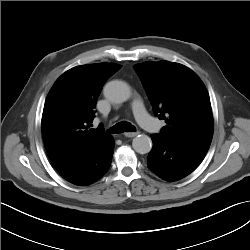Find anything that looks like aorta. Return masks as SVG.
Masks as SVG:
<instances>
[{
  "instance_id": "obj_1",
  "label": "aorta",
  "mask_w": 250,
  "mask_h": 250,
  "mask_svg": "<svg viewBox=\"0 0 250 250\" xmlns=\"http://www.w3.org/2000/svg\"><path fill=\"white\" fill-rule=\"evenodd\" d=\"M103 94L112 103H123L131 97V89L127 83L113 80L104 86ZM132 146L137 153L146 154L150 152L152 142L148 136L138 135L133 139Z\"/></svg>"
}]
</instances>
